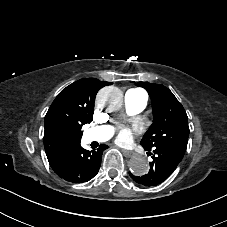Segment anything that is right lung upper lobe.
Wrapping results in <instances>:
<instances>
[{
  "label": "right lung upper lobe",
  "mask_w": 227,
  "mask_h": 227,
  "mask_svg": "<svg viewBox=\"0 0 227 227\" xmlns=\"http://www.w3.org/2000/svg\"><path fill=\"white\" fill-rule=\"evenodd\" d=\"M111 84L112 82L99 81L95 78H83L67 86L58 94L45 116L44 147L49 162H53L68 147L80 143V141L48 133L46 123L54 110L63 102L73 100L93 106L97 92Z\"/></svg>",
  "instance_id": "obj_1"
}]
</instances>
